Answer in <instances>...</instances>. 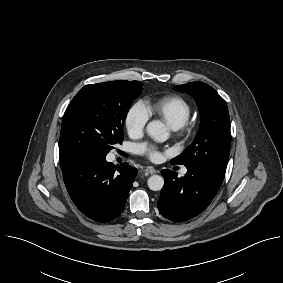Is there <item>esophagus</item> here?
Instances as JSON below:
<instances>
[{"mask_svg": "<svg viewBox=\"0 0 283 283\" xmlns=\"http://www.w3.org/2000/svg\"><path fill=\"white\" fill-rule=\"evenodd\" d=\"M145 172L148 173V174H156L157 170L155 168L149 166L145 169Z\"/></svg>", "mask_w": 283, "mask_h": 283, "instance_id": "obj_1", "label": "esophagus"}]
</instances>
